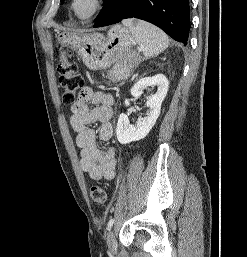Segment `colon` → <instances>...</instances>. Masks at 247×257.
Segmentation results:
<instances>
[{
	"label": "colon",
	"mask_w": 247,
	"mask_h": 257,
	"mask_svg": "<svg viewBox=\"0 0 247 257\" xmlns=\"http://www.w3.org/2000/svg\"><path fill=\"white\" fill-rule=\"evenodd\" d=\"M58 73L65 100H72L82 89L84 81L78 74L76 63L70 60V55L65 51L59 55ZM90 197L97 205H104L107 200L106 191L100 186L91 187Z\"/></svg>",
	"instance_id": "1"
}]
</instances>
